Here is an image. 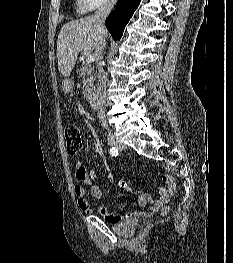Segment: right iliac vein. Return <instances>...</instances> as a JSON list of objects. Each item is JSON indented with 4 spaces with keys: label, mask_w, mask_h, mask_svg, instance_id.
Returning a JSON list of instances; mask_svg holds the SVG:
<instances>
[{
    "label": "right iliac vein",
    "mask_w": 233,
    "mask_h": 263,
    "mask_svg": "<svg viewBox=\"0 0 233 263\" xmlns=\"http://www.w3.org/2000/svg\"><path fill=\"white\" fill-rule=\"evenodd\" d=\"M108 143L111 145V146H114L116 148H119V149H124L126 146L121 143L116 137H114L113 135H109L108 136Z\"/></svg>",
    "instance_id": "obj_1"
}]
</instances>
